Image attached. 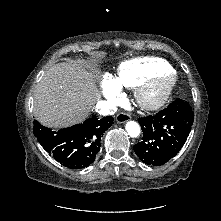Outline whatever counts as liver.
Wrapping results in <instances>:
<instances>
[{"label":"liver","instance_id":"1","mask_svg":"<svg viewBox=\"0 0 221 221\" xmlns=\"http://www.w3.org/2000/svg\"><path fill=\"white\" fill-rule=\"evenodd\" d=\"M99 98L92 72L76 63L61 62L38 83L33 111L46 127H66L82 122Z\"/></svg>","mask_w":221,"mask_h":221}]
</instances>
